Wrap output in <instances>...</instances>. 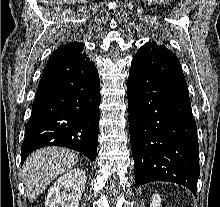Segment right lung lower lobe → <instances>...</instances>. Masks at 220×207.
I'll return each instance as SVG.
<instances>
[{"mask_svg": "<svg viewBox=\"0 0 220 207\" xmlns=\"http://www.w3.org/2000/svg\"><path fill=\"white\" fill-rule=\"evenodd\" d=\"M100 79L86 54L49 59L25 126L22 163L34 150L61 146L95 160L100 119Z\"/></svg>", "mask_w": 220, "mask_h": 207, "instance_id": "98d812e1", "label": "right lung lower lobe"}]
</instances>
